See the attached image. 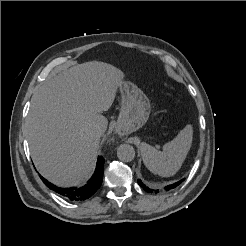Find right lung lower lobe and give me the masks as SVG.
Listing matches in <instances>:
<instances>
[{"mask_svg":"<svg viewBox=\"0 0 246 246\" xmlns=\"http://www.w3.org/2000/svg\"><path fill=\"white\" fill-rule=\"evenodd\" d=\"M103 172L104 158L102 156H99L93 176L84 186H81L79 188H60L48 182L42 176L41 179L47 187H49L51 190L58 193L65 199L70 201H83L90 198L100 188L103 180Z\"/></svg>","mask_w":246,"mask_h":246,"instance_id":"1","label":"right lung lower lobe"}]
</instances>
